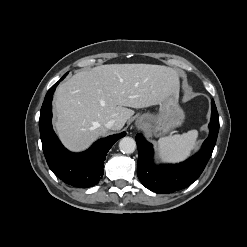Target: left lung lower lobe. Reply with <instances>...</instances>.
I'll return each mask as SVG.
<instances>
[{"instance_id":"0a47b994","label":"left lung lower lobe","mask_w":247,"mask_h":247,"mask_svg":"<svg viewBox=\"0 0 247 247\" xmlns=\"http://www.w3.org/2000/svg\"><path fill=\"white\" fill-rule=\"evenodd\" d=\"M211 109L213 117V113L217 111L214 100L211 102ZM215 117L218 116L215 115ZM208 127L210 133L203 143L201 151L182 163L160 166L153 163L152 145L141 134H137V175L141 183L157 193L174 192L192 184L203 172L217 140L219 122L216 121V118L210 121Z\"/></svg>"}]
</instances>
